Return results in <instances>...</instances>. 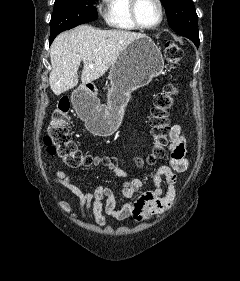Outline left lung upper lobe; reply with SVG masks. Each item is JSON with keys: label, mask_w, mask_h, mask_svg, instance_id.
Returning a JSON list of instances; mask_svg holds the SVG:
<instances>
[{"label": "left lung upper lobe", "mask_w": 240, "mask_h": 281, "mask_svg": "<svg viewBox=\"0 0 240 281\" xmlns=\"http://www.w3.org/2000/svg\"><path fill=\"white\" fill-rule=\"evenodd\" d=\"M165 7L169 26L190 40L199 37L198 16L192 0H160Z\"/></svg>", "instance_id": "obj_1"}]
</instances>
